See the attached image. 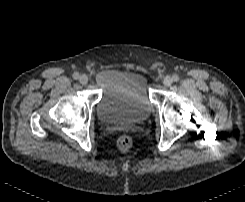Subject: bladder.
I'll list each match as a JSON object with an SVG mask.
<instances>
[{"label":"bladder","instance_id":"obj_1","mask_svg":"<svg viewBox=\"0 0 245 202\" xmlns=\"http://www.w3.org/2000/svg\"><path fill=\"white\" fill-rule=\"evenodd\" d=\"M101 89L96 116L103 125L140 121L148 117L153 104L146 74L131 68L103 69L93 74Z\"/></svg>","mask_w":245,"mask_h":202}]
</instances>
